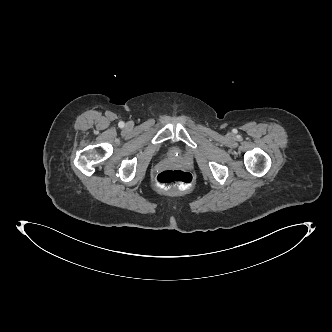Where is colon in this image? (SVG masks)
Here are the masks:
<instances>
[{"mask_svg":"<svg viewBox=\"0 0 332 332\" xmlns=\"http://www.w3.org/2000/svg\"><path fill=\"white\" fill-rule=\"evenodd\" d=\"M192 184V174L181 169L163 170L156 176V185L164 190L173 188L189 189Z\"/></svg>","mask_w":332,"mask_h":332,"instance_id":"obj_1","label":"colon"}]
</instances>
